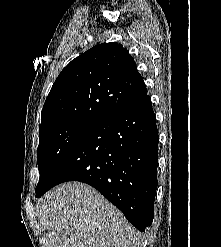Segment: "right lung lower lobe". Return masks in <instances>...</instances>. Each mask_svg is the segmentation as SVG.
Masks as SVG:
<instances>
[{"label": "right lung lower lobe", "instance_id": "obj_1", "mask_svg": "<svg viewBox=\"0 0 221 247\" xmlns=\"http://www.w3.org/2000/svg\"><path fill=\"white\" fill-rule=\"evenodd\" d=\"M158 141L156 118L147 94L96 124L36 196L62 182L87 183L143 232L154 216Z\"/></svg>", "mask_w": 221, "mask_h": 247}]
</instances>
